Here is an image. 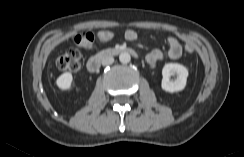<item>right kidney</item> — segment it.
<instances>
[{
	"mask_svg": "<svg viewBox=\"0 0 244 157\" xmlns=\"http://www.w3.org/2000/svg\"><path fill=\"white\" fill-rule=\"evenodd\" d=\"M73 81V76L70 72H65L61 74L57 80H56V85L63 91H68L71 89Z\"/></svg>",
	"mask_w": 244,
	"mask_h": 157,
	"instance_id": "1",
	"label": "right kidney"
}]
</instances>
